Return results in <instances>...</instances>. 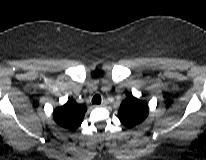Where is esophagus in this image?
Returning <instances> with one entry per match:
<instances>
[{"instance_id": "1", "label": "esophagus", "mask_w": 206, "mask_h": 160, "mask_svg": "<svg viewBox=\"0 0 206 160\" xmlns=\"http://www.w3.org/2000/svg\"><path fill=\"white\" fill-rule=\"evenodd\" d=\"M106 105V102L105 101H102L101 104L99 106L103 107Z\"/></svg>"}]
</instances>
